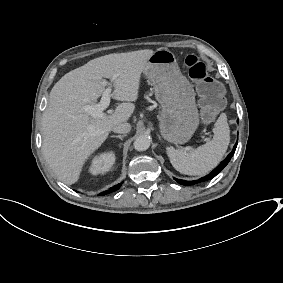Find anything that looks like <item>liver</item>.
Instances as JSON below:
<instances>
[{"label": "liver", "mask_w": 283, "mask_h": 283, "mask_svg": "<svg viewBox=\"0 0 283 283\" xmlns=\"http://www.w3.org/2000/svg\"><path fill=\"white\" fill-rule=\"evenodd\" d=\"M153 54V50L144 49L95 58L65 74L54 85L42 118V149L60 181L75 184L111 128L130 120L136 109L131 102L139 98L141 77ZM114 74H118L114 98L125 102L107 115L87 113L86 106L95 105L105 90L102 79Z\"/></svg>", "instance_id": "liver-1"}]
</instances>
